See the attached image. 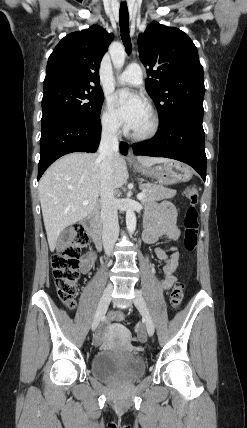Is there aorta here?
Wrapping results in <instances>:
<instances>
[{
  "label": "aorta",
  "mask_w": 247,
  "mask_h": 428,
  "mask_svg": "<svg viewBox=\"0 0 247 428\" xmlns=\"http://www.w3.org/2000/svg\"><path fill=\"white\" fill-rule=\"evenodd\" d=\"M111 59L115 69L121 70L125 63V51L121 45L113 47L110 51ZM126 226L128 232L132 234L136 228V215L132 208L126 210Z\"/></svg>",
  "instance_id": "obj_1"
}]
</instances>
